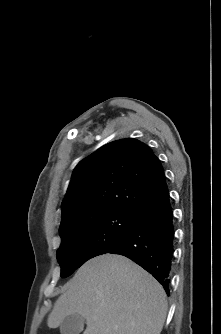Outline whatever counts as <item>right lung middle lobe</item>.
I'll use <instances>...</instances> for the list:
<instances>
[{"label": "right lung middle lobe", "mask_w": 221, "mask_h": 334, "mask_svg": "<svg viewBox=\"0 0 221 334\" xmlns=\"http://www.w3.org/2000/svg\"><path fill=\"white\" fill-rule=\"evenodd\" d=\"M135 214L109 212L83 220L61 236L57 260L61 277H67L88 259L104 254L121 240Z\"/></svg>", "instance_id": "right-lung-middle-lobe-1"}]
</instances>
